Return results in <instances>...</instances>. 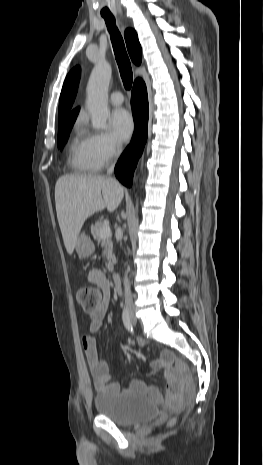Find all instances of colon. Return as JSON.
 <instances>
[{
    "label": "colon",
    "mask_w": 263,
    "mask_h": 465,
    "mask_svg": "<svg viewBox=\"0 0 263 465\" xmlns=\"http://www.w3.org/2000/svg\"><path fill=\"white\" fill-rule=\"evenodd\" d=\"M102 298V292L99 288L85 286L78 290L77 300L85 311L94 309ZM173 406L174 404H170Z\"/></svg>",
    "instance_id": "colon-1"
}]
</instances>
